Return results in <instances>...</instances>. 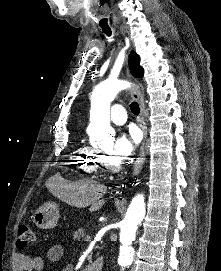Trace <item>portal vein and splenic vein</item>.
Segmentation results:
<instances>
[{
	"label": "portal vein and splenic vein",
	"mask_w": 221,
	"mask_h": 271,
	"mask_svg": "<svg viewBox=\"0 0 221 271\" xmlns=\"http://www.w3.org/2000/svg\"><path fill=\"white\" fill-rule=\"evenodd\" d=\"M91 234H86L85 238H84V241L85 242H90L91 241Z\"/></svg>",
	"instance_id": "obj_1"
}]
</instances>
